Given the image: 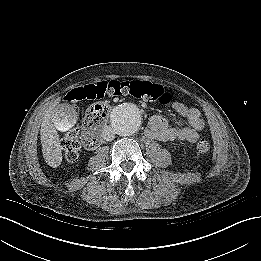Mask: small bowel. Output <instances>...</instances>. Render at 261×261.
Listing matches in <instances>:
<instances>
[{
	"label": "small bowel",
	"mask_w": 261,
	"mask_h": 261,
	"mask_svg": "<svg viewBox=\"0 0 261 261\" xmlns=\"http://www.w3.org/2000/svg\"><path fill=\"white\" fill-rule=\"evenodd\" d=\"M171 107L179 115L176 126H169L161 115H153L149 119L146 135L160 141L196 142L200 137V131L205 127L201 112L178 101L172 102Z\"/></svg>",
	"instance_id": "small-bowel-1"
}]
</instances>
